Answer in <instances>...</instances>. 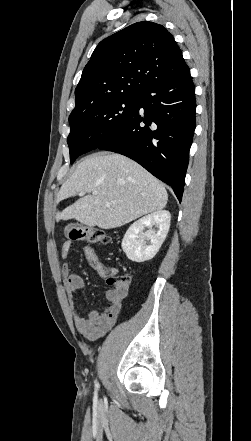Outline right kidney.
Masks as SVG:
<instances>
[{
    "instance_id": "1",
    "label": "right kidney",
    "mask_w": 251,
    "mask_h": 441,
    "mask_svg": "<svg viewBox=\"0 0 251 441\" xmlns=\"http://www.w3.org/2000/svg\"><path fill=\"white\" fill-rule=\"evenodd\" d=\"M170 220V212L160 210L134 222L126 231L121 244L127 258L138 263L152 259L168 234ZM153 226L157 230L152 229ZM145 227L149 229L143 232Z\"/></svg>"
}]
</instances>
